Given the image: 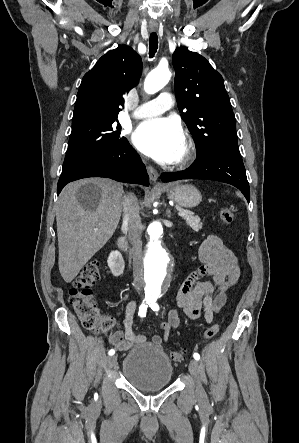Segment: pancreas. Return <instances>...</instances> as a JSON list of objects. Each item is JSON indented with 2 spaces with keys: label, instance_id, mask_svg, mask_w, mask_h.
Returning a JSON list of instances; mask_svg holds the SVG:
<instances>
[{
  "label": "pancreas",
  "instance_id": "1",
  "mask_svg": "<svg viewBox=\"0 0 299 443\" xmlns=\"http://www.w3.org/2000/svg\"><path fill=\"white\" fill-rule=\"evenodd\" d=\"M176 208L179 211L184 212L186 215L184 216V219L186 220V224L191 227L194 231H199L202 229L203 223L200 221V218L198 216H194L193 212L183 209L179 206H176Z\"/></svg>",
  "mask_w": 299,
  "mask_h": 443
}]
</instances>
